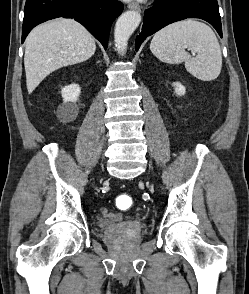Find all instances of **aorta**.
<instances>
[{"label":"aorta","mask_w":249,"mask_h":294,"mask_svg":"<svg viewBox=\"0 0 249 294\" xmlns=\"http://www.w3.org/2000/svg\"><path fill=\"white\" fill-rule=\"evenodd\" d=\"M141 22V15L137 11H126L117 20L114 31V42L117 52L124 55L130 36Z\"/></svg>","instance_id":"1"}]
</instances>
